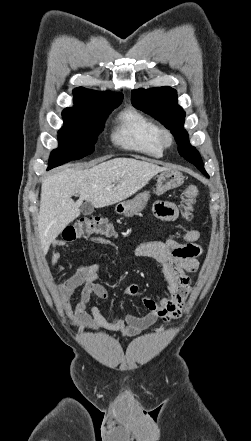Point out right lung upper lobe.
I'll use <instances>...</instances> for the list:
<instances>
[{"instance_id":"right-lung-upper-lobe-1","label":"right lung upper lobe","mask_w":251,"mask_h":441,"mask_svg":"<svg viewBox=\"0 0 251 441\" xmlns=\"http://www.w3.org/2000/svg\"><path fill=\"white\" fill-rule=\"evenodd\" d=\"M74 107L66 108L63 113H71L77 111L80 106L89 100L98 101H121L123 96L121 93H111L109 91L98 92L79 87L73 90Z\"/></svg>"}]
</instances>
